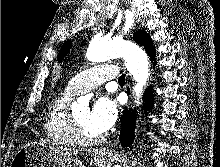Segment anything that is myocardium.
<instances>
[{
    "label": "myocardium",
    "mask_w": 220,
    "mask_h": 167,
    "mask_svg": "<svg viewBox=\"0 0 220 167\" xmlns=\"http://www.w3.org/2000/svg\"><path fill=\"white\" fill-rule=\"evenodd\" d=\"M70 121H71V130H72V135L74 138V141L82 146H93L100 144L104 141V136L99 135L97 137H87L82 128L80 123L78 122L74 112L70 113Z\"/></svg>",
    "instance_id": "myocardium-1"
}]
</instances>
